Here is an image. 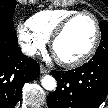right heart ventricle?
Returning <instances> with one entry per match:
<instances>
[{
	"label": "right heart ventricle",
	"mask_w": 108,
	"mask_h": 108,
	"mask_svg": "<svg viewBox=\"0 0 108 108\" xmlns=\"http://www.w3.org/2000/svg\"><path fill=\"white\" fill-rule=\"evenodd\" d=\"M76 12L78 11L71 9L42 10L29 18L28 25L33 32L48 41L57 27Z\"/></svg>",
	"instance_id": "right-heart-ventricle-1"
}]
</instances>
